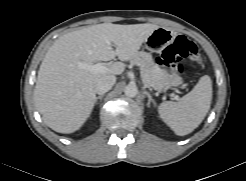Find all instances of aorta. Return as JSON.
<instances>
[{
    "label": "aorta",
    "mask_w": 246,
    "mask_h": 181,
    "mask_svg": "<svg viewBox=\"0 0 246 181\" xmlns=\"http://www.w3.org/2000/svg\"><path fill=\"white\" fill-rule=\"evenodd\" d=\"M124 93L127 97H135L138 93V89L135 85L129 84L124 88Z\"/></svg>",
    "instance_id": "aorta-1"
}]
</instances>
